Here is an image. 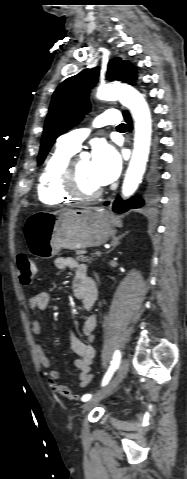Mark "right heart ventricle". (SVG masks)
I'll list each match as a JSON object with an SVG mask.
<instances>
[{"label":"right heart ventricle","mask_w":187,"mask_h":479,"mask_svg":"<svg viewBox=\"0 0 187 479\" xmlns=\"http://www.w3.org/2000/svg\"><path fill=\"white\" fill-rule=\"evenodd\" d=\"M75 153V150L57 142L55 149L46 159L38 179L37 195L42 203L58 205L74 200L62 189V174Z\"/></svg>","instance_id":"right-heart-ventricle-1"}]
</instances>
